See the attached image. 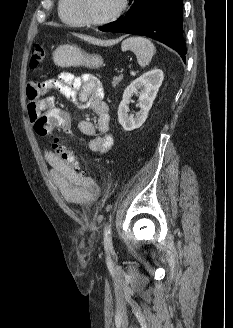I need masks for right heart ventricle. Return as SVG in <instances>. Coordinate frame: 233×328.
<instances>
[{
    "instance_id": "right-heart-ventricle-1",
    "label": "right heart ventricle",
    "mask_w": 233,
    "mask_h": 328,
    "mask_svg": "<svg viewBox=\"0 0 233 328\" xmlns=\"http://www.w3.org/2000/svg\"><path fill=\"white\" fill-rule=\"evenodd\" d=\"M75 3L76 0H59V17L68 26L82 27L84 24L76 12Z\"/></svg>"
}]
</instances>
